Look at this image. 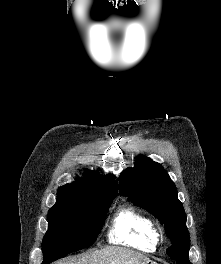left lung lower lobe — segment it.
<instances>
[{
	"label": "left lung lower lobe",
	"mask_w": 221,
	"mask_h": 264,
	"mask_svg": "<svg viewBox=\"0 0 221 264\" xmlns=\"http://www.w3.org/2000/svg\"><path fill=\"white\" fill-rule=\"evenodd\" d=\"M182 264H191L190 261H183Z\"/></svg>",
	"instance_id": "1"
}]
</instances>
